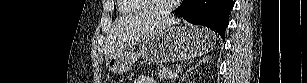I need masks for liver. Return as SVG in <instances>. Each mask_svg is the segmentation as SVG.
<instances>
[{
    "label": "liver",
    "instance_id": "6515ba94",
    "mask_svg": "<svg viewBox=\"0 0 307 83\" xmlns=\"http://www.w3.org/2000/svg\"><path fill=\"white\" fill-rule=\"evenodd\" d=\"M179 22V19L145 12L123 17L112 27L105 46V56L141 42Z\"/></svg>",
    "mask_w": 307,
    "mask_h": 83
}]
</instances>
